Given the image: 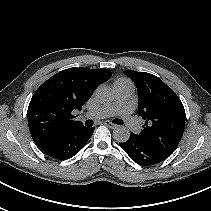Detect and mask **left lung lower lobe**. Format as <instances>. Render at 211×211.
I'll return each mask as SVG.
<instances>
[{
    "instance_id": "obj_1",
    "label": "left lung lower lobe",
    "mask_w": 211,
    "mask_h": 211,
    "mask_svg": "<svg viewBox=\"0 0 211 211\" xmlns=\"http://www.w3.org/2000/svg\"><path fill=\"white\" fill-rule=\"evenodd\" d=\"M129 157L139 165H155L164 161L168 156L144 143L137 134L131 133L129 139L119 143Z\"/></svg>"
}]
</instances>
